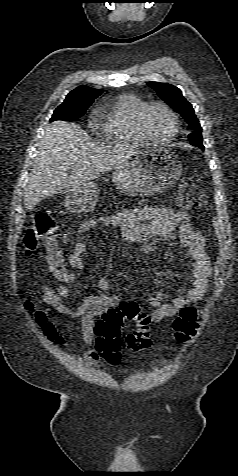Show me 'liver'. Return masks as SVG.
<instances>
[{
    "instance_id": "obj_1",
    "label": "liver",
    "mask_w": 238,
    "mask_h": 476,
    "mask_svg": "<svg viewBox=\"0 0 238 476\" xmlns=\"http://www.w3.org/2000/svg\"><path fill=\"white\" fill-rule=\"evenodd\" d=\"M137 152L134 146L97 145L78 125L53 122L47 126L40 142L25 189L24 206L31 210L42 199L84 185Z\"/></svg>"
}]
</instances>
